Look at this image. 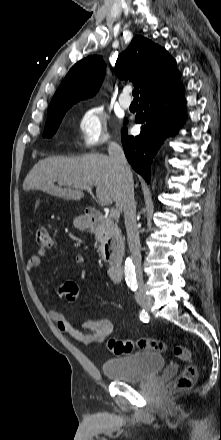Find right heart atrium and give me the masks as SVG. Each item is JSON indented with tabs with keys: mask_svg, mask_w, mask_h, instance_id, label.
I'll list each match as a JSON object with an SVG mask.
<instances>
[{
	"mask_svg": "<svg viewBox=\"0 0 221 440\" xmlns=\"http://www.w3.org/2000/svg\"><path fill=\"white\" fill-rule=\"evenodd\" d=\"M109 128V118L98 106L85 109L77 121L79 139L86 149L105 145L110 139Z\"/></svg>",
	"mask_w": 221,
	"mask_h": 440,
	"instance_id": "right-heart-atrium-1",
	"label": "right heart atrium"
}]
</instances>
